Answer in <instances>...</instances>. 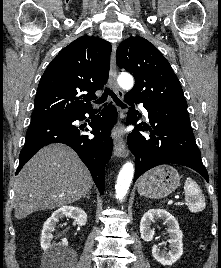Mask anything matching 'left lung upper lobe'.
Instances as JSON below:
<instances>
[{
	"label": "left lung upper lobe",
	"instance_id": "obj_1",
	"mask_svg": "<svg viewBox=\"0 0 221 268\" xmlns=\"http://www.w3.org/2000/svg\"><path fill=\"white\" fill-rule=\"evenodd\" d=\"M117 65L133 74L135 85L126 95L143 104L187 109L180 82L160 51L142 37L124 40L116 52Z\"/></svg>",
	"mask_w": 221,
	"mask_h": 268
}]
</instances>
